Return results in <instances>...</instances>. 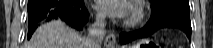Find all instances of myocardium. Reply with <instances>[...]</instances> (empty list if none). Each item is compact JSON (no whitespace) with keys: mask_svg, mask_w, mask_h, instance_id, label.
I'll list each match as a JSON object with an SVG mask.
<instances>
[{"mask_svg":"<svg viewBox=\"0 0 213 48\" xmlns=\"http://www.w3.org/2000/svg\"><path fill=\"white\" fill-rule=\"evenodd\" d=\"M145 16L143 7L140 4H132L130 7V14L125 21V25L129 27H134L139 25Z\"/></svg>","mask_w":213,"mask_h":48,"instance_id":"1","label":"myocardium"}]
</instances>
